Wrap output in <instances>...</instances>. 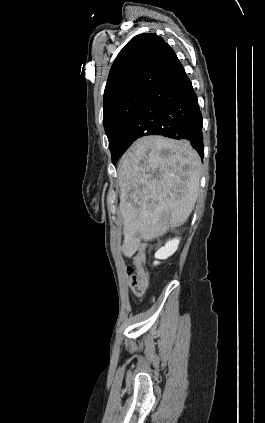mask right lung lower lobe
<instances>
[{
    "instance_id": "1",
    "label": "right lung lower lobe",
    "mask_w": 265,
    "mask_h": 423,
    "mask_svg": "<svg viewBox=\"0 0 265 423\" xmlns=\"http://www.w3.org/2000/svg\"><path fill=\"white\" fill-rule=\"evenodd\" d=\"M147 135L189 140L203 159L202 115L191 81L178 58L123 129L118 149L124 153L135 140Z\"/></svg>"
}]
</instances>
